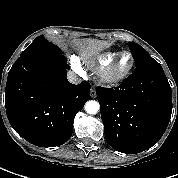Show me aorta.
I'll return each mask as SVG.
<instances>
[{
  "label": "aorta",
  "mask_w": 178,
  "mask_h": 178,
  "mask_svg": "<svg viewBox=\"0 0 178 178\" xmlns=\"http://www.w3.org/2000/svg\"><path fill=\"white\" fill-rule=\"evenodd\" d=\"M85 110L88 114H96L99 110V103L97 101H88L85 104Z\"/></svg>",
  "instance_id": "obj_1"
}]
</instances>
